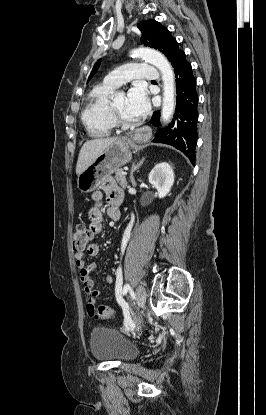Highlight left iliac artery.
I'll list each match as a JSON object with an SVG mask.
<instances>
[{
	"label": "left iliac artery",
	"mask_w": 266,
	"mask_h": 415,
	"mask_svg": "<svg viewBox=\"0 0 266 415\" xmlns=\"http://www.w3.org/2000/svg\"><path fill=\"white\" fill-rule=\"evenodd\" d=\"M122 282H123L122 272H121V269H119L117 271L116 286H115L116 295H118L121 292ZM130 289H131L130 285L125 284L123 287V291H122L123 295H125Z\"/></svg>",
	"instance_id": "obj_1"
}]
</instances>
